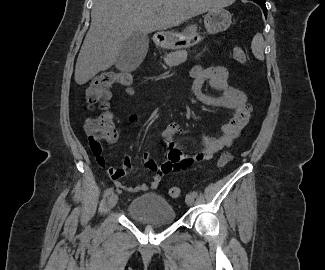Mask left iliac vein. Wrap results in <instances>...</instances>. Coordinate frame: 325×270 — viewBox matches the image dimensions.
I'll list each match as a JSON object with an SVG mask.
<instances>
[{
  "label": "left iliac vein",
  "instance_id": "1",
  "mask_svg": "<svg viewBox=\"0 0 325 270\" xmlns=\"http://www.w3.org/2000/svg\"><path fill=\"white\" fill-rule=\"evenodd\" d=\"M185 201L188 206H192L194 204V196L191 194L187 195Z\"/></svg>",
  "mask_w": 325,
  "mask_h": 270
}]
</instances>
